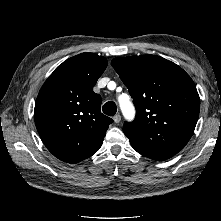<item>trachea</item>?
I'll return each instance as SVG.
<instances>
[{
  "label": "trachea",
  "instance_id": "trachea-1",
  "mask_svg": "<svg viewBox=\"0 0 221 221\" xmlns=\"http://www.w3.org/2000/svg\"><path fill=\"white\" fill-rule=\"evenodd\" d=\"M103 113H105L108 116H114L117 111V106L114 102L110 101L103 105Z\"/></svg>",
  "mask_w": 221,
  "mask_h": 221
}]
</instances>
